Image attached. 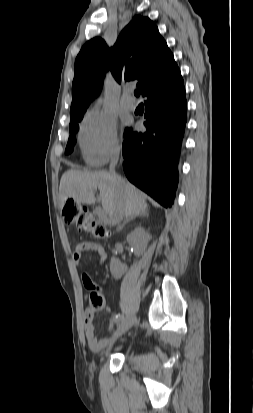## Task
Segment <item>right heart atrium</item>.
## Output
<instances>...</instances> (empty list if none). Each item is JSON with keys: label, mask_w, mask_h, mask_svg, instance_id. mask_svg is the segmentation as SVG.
Listing matches in <instances>:
<instances>
[{"label": "right heart atrium", "mask_w": 253, "mask_h": 413, "mask_svg": "<svg viewBox=\"0 0 253 413\" xmlns=\"http://www.w3.org/2000/svg\"><path fill=\"white\" fill-rule=\"evenodd\" d=\"M79 144L87 163L104 165L120 149L116 120L104 112L88 113L80 129Z\"/></svg>", "instance_id": "obj_1"}]
</instances>
